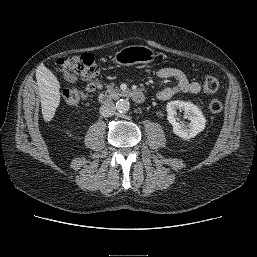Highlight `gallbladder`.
Wrapping results in <instances>:
<instances>
[{
  "mask_svg": "<svg viewBox=\"0 0 257 257\" xmlns=\"http://www.w3.org/2000/svg\"><path fill=\"white\" fill-rule=\"evenodd\" d=\"M65 79L71 83H75L77 80V77L74 74L72 75L69 74L65 76Z\"/></svg>",
  "mask_w": 257,
  "mask_h": 257,
  "instance_id": "obj_1",
  "label": "gallbladder"
}]
</instances>
